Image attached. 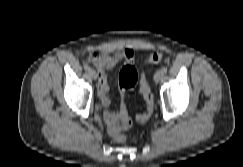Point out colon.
<instances>
[{
	"label": "colon",
	"instance_id": "colon-1",
	"mask_svg": "<svg viewBox=\"0 0 243 167\" xmlns=\"http://www.w3.org/2000/svg\"><path fill=\"white\" fill-rule=\"evenodd\" d=\"M164 58L163 53L161 52H153L151 53L148 58L146 59V63L148 64H157L161 62ZM137 71L136 69L131 65H125L118 76V83L119 87L122 91L124 90H130L133 89L137 83ZM140 91L143 96V99L146 103V112L140 114L138 116V121L140 122H146L150 116L153 113L154 110V96L150 89V86L147 82V79L145 76L142 77L140 81ZM132 124L131 119L127 115L126 111L123 110L120 113L119 119L117 122L112 123L108 128L111 136L113 139L117 142H122L125 140V136L123 134V130L129 128ZM133 140L137 139V135H134L132 137Z\"/></svg>",
	"mask_w": 243,
	"mask_h": 167
}]
</instances>
